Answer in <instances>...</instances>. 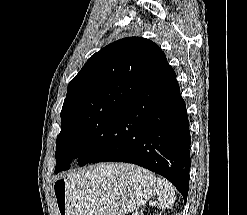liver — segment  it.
<instances>
[{"mask_svg":"<svg viewBox=\"0 0 247 215\" xmlns=\"http://www.w3.org/2000/svg\"><path fill=\"white\" fill-rule=\"evenodd\" d=\"M115 164H104L102 170H105L107 173H110L115 170Z\"/></svg>","mask_w":247,"mask_h":215,"instance_id":"liver-1","label":"liver"}]
</instances>
